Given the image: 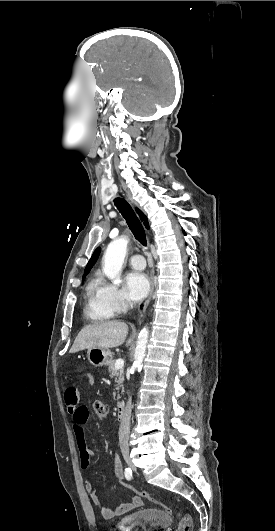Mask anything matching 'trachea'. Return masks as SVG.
Segmentation results:
<instances>
[{"label":"trachea","instance_id":"1","mask_svg":"<svg viewBox=\"0 0 275 531\" xmlns=\"http://www.w3.org/2000/svg\"><path fill=\"white\" fill-rule=\"evenodd\" d=\"M115 206L120 211V213L122 214L123 218L126 219V222H127L128 226H129L130 230L132 231L133 235L135 236V238L143 246H146L147 245V239H146L145 230H144L142 224L140 223L138 217L134 213V211H133L132 207L130 206V204H128L127 201H125V199L116 198L115 199Z\"/></svg>","mask_w":275,"mask_h":531}]
</instances>
